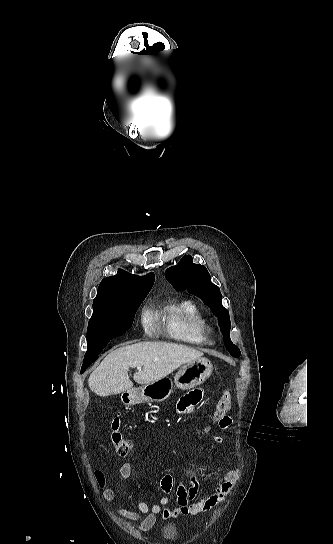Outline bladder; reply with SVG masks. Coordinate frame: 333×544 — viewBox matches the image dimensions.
Wrapping results in <instances>:
<instances>
[{"instance_id":"1","label":"bladder","mask_w":333,"mask_h":544,"mask_svg":"<svg viewBox=\"0 0 333 544\" xmlns=\"http://www.w3.org/2000/svg\"><path fill=\"white\" fill-rule=\"evenodd\" d=\"M177 533L178 531L174 524L169 523L163 528V536L166 539H174L177 536Z\"/></svg>"}]
</instances>
